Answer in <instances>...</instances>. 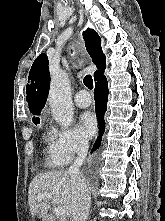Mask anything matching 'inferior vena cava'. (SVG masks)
Listing matches in <instances>:
<instances>
[{"label": "inferior vena cava", "instance_id": "1", "mask_svg": "<svg viewBox=\"0 0 165 221\" xmlns=\"http://www.w3.org/2000/svg\"><path fill=\"white\" fill-rule=\"evenodd\" d=\"M87 152L88 144L86 141L81 140L77 147V158L67 172L71 177L74 189L71 202L72 221H86L90 210V192L86 186L85 179L80 172V166L82 165Z\"/></svg>", "mask_w": 165, "mask_h": 221}]
</instances>
